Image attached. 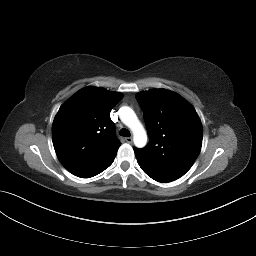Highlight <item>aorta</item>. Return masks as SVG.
Wrapping results in <instances>:
<instances>
[{
  "instance_id": "1",
  "label": "aorta",
  "mask_w": 256,
  "mask_h": 256,
  "mask_svg": "<svg viewBox=\"0 0 256 256\" xmlns=\"http://www.w3.org/2000/svg\"><path fill=\"white\" fill-rule=\"evenodd\" d=\"M119 115L121 121L131 129L135 146L144 147L147 143V134L135 112L130 107L124 106L120 108Z\"/></svg>"
}]
</instances>
